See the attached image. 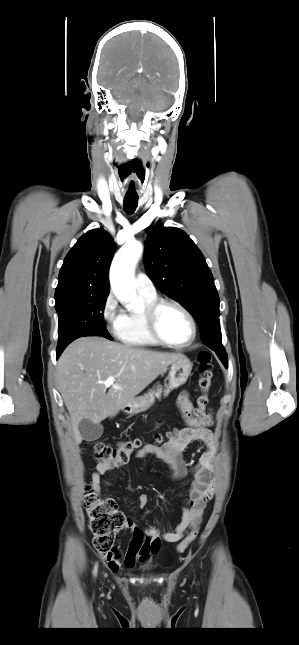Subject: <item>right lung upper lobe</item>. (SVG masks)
Wrapping results in <instances>:
<instances>
[{
    "instance_id": "cb5924a9",
    "label": "right lung upper lobe",
    "mask_w": 299,
    "mask_h": 645,
    "mask_svg": "<svg viewBox=\"0 0 299 645\" xmlns=\"http://www.w3.org/2000/svg\"><path fill=\"white\" fill-rule=\"evenodd\" d=\"M114 250L115 243L104 229L85 233L60 269L56 303L72 296L109 294L108 268Z\"/></svg>"
}]
</instances>
